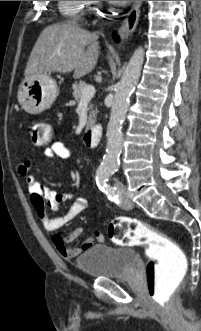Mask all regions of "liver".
Wrapping results in <instances>:
<instances>
[{
	"instance_id": "6515ba94",
	"label": "liver",
	"mask_w": 201,
	"mask_h": 331,
	"mask_svg": "<svg viewBox=\"0 0 201 331\" xmlns=\"http://www.w3.org/2000/svg\"><path fill=\"white\" fill-rule=\"evenodd\" d=\"M95 33L71 22L52 24L38 37L29 56L25 77H41L52 72L79 78L97 64L100 47Z\"/></svg>"
}]
</instances>
